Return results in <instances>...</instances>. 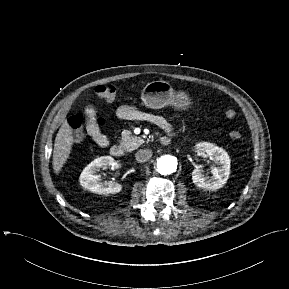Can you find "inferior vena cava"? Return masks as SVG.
<instances>
[{
  "label": "inferior vena cava",
  "mask_w": 289,
  "mask_h": 289,
  "mask_svg": "<svg viewBox=\"0 0 289 289\" xmlns=\"http://www.w3.org/2000/svg\"><path fill=\"white\" fill-rule=\"evenodd\" d=\"M138 162H146L152 157V151L150 149H140L135 154Z\"/></svg>",
  "instance_id": "602c4592"
}]
</instances>
